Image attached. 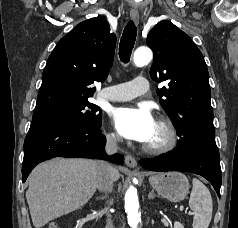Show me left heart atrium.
<instances>
[{
	"label": "left heart atrium",
	"instance_id": "obj_1",
	"mask_svg": "<svg viewBox=\"0 0 238 228\" xmlns=\"http://www.w3.org/2000/svg\"><path fill=\"white\" fill-rule=\"evenodd\" d=\"M111 117L122 137L137 142L146 143L156 126L152 113L144 107H119L113 110Z\"/></svg>",
	"mask_w": 238,
	"mask_h": 228
}]
</instances>
